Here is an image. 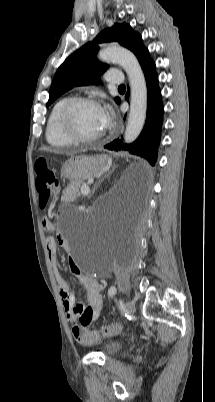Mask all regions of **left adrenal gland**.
<instances>
[{
	"instance_id": "a2214340",
	"label": "left adrenal gland",
	"mask_w": 215,
	"mask_h": 402,
	"mask_svg": "<svg viewBox=\"0 0 215 402\" xmlns=\"http://www.w3.org/2000/svg\"><path fill=\"white\" fill-rule=\"evenodd\" d=\"M103 180H104V179H102V181H103ZM102 181H101V182H102ZM101 182H100V183H101ZM95 190H96V188H94V189L92 190V193H91L90 196H92V195L94 194Z\"/></svg>"
}]
</instances>
